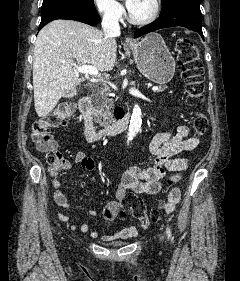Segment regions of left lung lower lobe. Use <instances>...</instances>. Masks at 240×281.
<instances>
[{"mask_svg":"<svg viewBox=\"0 0 240 281\" xmlns=\"http://www.w3.org/2000/svg\"><path fill=\"white\" fill-rule=\"evenodd\" d=\"M174 26L186 27L198 32L204 38L200 0H173L162 8V13L156 21L138 29L134 38L158 29Z\"/></svg>","mask_w":240,"mask_h":281,"instance_id":"0a47b994","label":"left lung lower lobe"}]
</instances>
